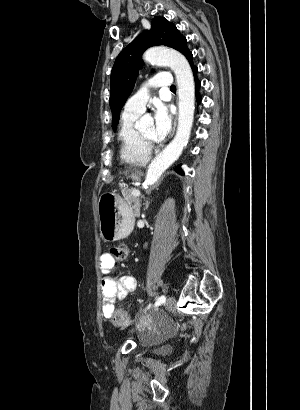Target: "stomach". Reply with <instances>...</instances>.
Listing matches in <instances>:
<instances>
[{"mask_svg": "<svg viewBox=\"0 0 300 410\" xmlns=\"http://www.w3.org/2000/svg\"><path fill=\"white\" fill-rule=\"evenodd\" d=\"M131 178L139 179L133 173ZM101 237L106 242L120 240L130 234L134 217L127 203L115 193H105L99 198L97 206Z\"/></svg>", "mask_w": 300, "mask_h": 410, "instance_id": "obj_1", "label": "stomach"}]
</instances>
